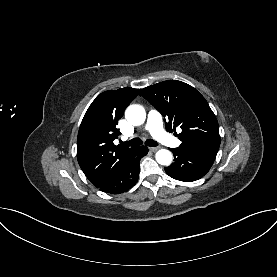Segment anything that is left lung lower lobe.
<instances>
[{
  "label": "left lung lower lobe",
  "instance_id": "0a47b994",
  "mask_svg": "<svg viewBox=\"0 0 277 277\" xmlns=\"http://www.w3.org/2000/svg\"><path fill=\"white\" fill-rule=\"evenodd\" d=\"M219 147L197 146L171 149L174 163L165 168L166 173L180 181L191 182L202 178L211 168Z\"/></svg>",
  "mask_w": 277,
  "mask_h": 277
}]
</instances>
